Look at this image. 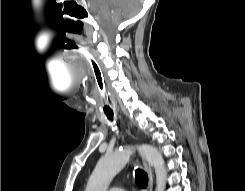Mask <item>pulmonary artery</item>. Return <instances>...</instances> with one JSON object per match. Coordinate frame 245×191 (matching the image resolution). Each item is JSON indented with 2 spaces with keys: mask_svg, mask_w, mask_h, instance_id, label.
<instances>
[{
  "mask_svg": "<svg viewBox=\"0 0 245 191\" xmlns=\"http://www.w3.org/2000/svg\"><path fill=\"white\" fill-rule=\"evenodd\" d=\"M109 191H126L125 189H123V188H119V187H111L110 189H109Z\"/></svg>",
  "mask_w": 245,
  "mask_h": 191,
  "instance_id": "1",
  "label": "pulmonary artery"
}]
</instances>
